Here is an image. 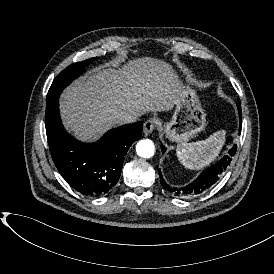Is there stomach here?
<instances>
[{"label":"stomach","instance_id":"0dacf381","mask_svg":"<svg viewBox=\"0 0 274 274\" xmlns=\"http://www.w3.org/2000/svg\"><path fill=\"white\" fill-rule=\"evenodd\" d=\"M179 100L169 122H160L161 131L166 137L177 143H186L206 126V113L201 106L196 91L182 86Z\"/></svg>","mask_w":274,"mask_h":274}]
</instances>
